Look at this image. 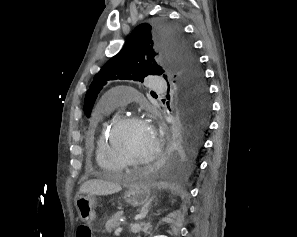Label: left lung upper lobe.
I'll return each instance as SVG.
<instances>
[{
	"mask_svg": "<svg viewBox=\"0 0 297 237\" xmlns=\"http://www.w3.org/2000/svg\"><path fill=\"white\" fill-rule=\"evenodd\" d=\"M175 73L177 92L198 105L208 104L206 85L192 46L181 29L166 21L140 24L131 33L124 48L95 75L85 96L84 112L91 109L109 80L143 81L148 75Z\"/></svg>",
	"mask_w": 297,
	"mask_h": 237,
	"instance_id": "left-lung-upper-lobe-1",
	"label": "left lung upper lobe"
}]
</instances>
